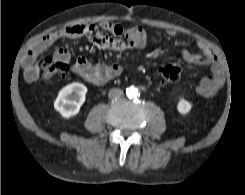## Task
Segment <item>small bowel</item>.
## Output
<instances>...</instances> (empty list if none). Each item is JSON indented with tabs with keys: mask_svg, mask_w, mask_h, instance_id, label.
Instances as JSON below:
<instances>
[{
	"mask_svg": "<svg viewBox=\"0 0 245 195\" xmlns=\"http://www.w3.org/2000/svg\"><path fill=\"white\" fill-rule=\"evenodd\" d=\"M168 34L175 36L176 31L169 30ZM78 37H86L100 48L116 51L141 49L147 42L146 32L139 26L124 29L120 24L110 22L66 26L40 38L26 53L22 62L26 80L29 82L37 80L38 68L35 61L54 42L60 38ZM196 45L200 53H193L184 48L182 49V57L189 65L210 66L211 75L204 77L195 87V91L202 97H212L224 84L223 68L216 54L204 41L197 39ZM55 56L65 61L70 59L69 52L63 48L57 50ZM72 71L91 84L102 85L119 76L122 72V67L118 64H91L80 56L74 61Z\"/></svg>",
	"mask_w": 245,
	"mask_h": 195,
	"instance_id": "c3829d8e",
	"label": "small bowel"
}]
</instances>
